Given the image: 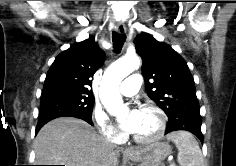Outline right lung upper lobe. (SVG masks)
Segmentation results:
<instances>
[{
	"mask_svg": "<svg viewBox=\"0 0 236 166\" xmlns=\"http://www.w3.org/2000/svg\"><path fill=\"white\" fill-rule=\"evenodd\" d=\"M103 60L104 54L92 37L76 43L55 58L47 73L42 92L65 89L92 94L90 78L102 65Z\"/></svg>",
	"mask_w": 236,
	"mask_h": 166,
	"instance_id": "cb5924a9",
	"label": "right lung upper lobe"
}]
</instances>
